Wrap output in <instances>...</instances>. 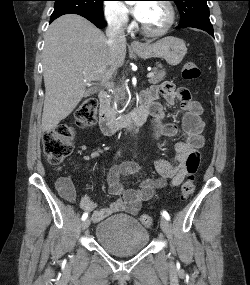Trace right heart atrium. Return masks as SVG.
Here are the masks:
<instances>
[{
	"label": "right heart atrium",
	"instance_id": "right-heart-atrium-1",
	"mask_svg": "<svg viewBox=\"0 0 250 285\" xmlns=\"http://www.w3.org/2000/svg\"><path fill=\"white\" fill-rule=\"evenodd\" d=\"M104 15L107 23L116 29H127L130 26L128 12L120 1H107L104 6Z\"/></svg>",
	"mask_w": 250,
	"mask_h": 285
}]
</instances>
